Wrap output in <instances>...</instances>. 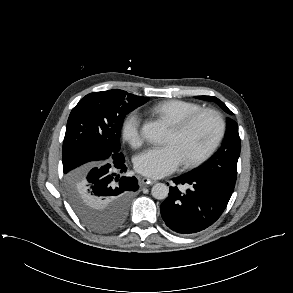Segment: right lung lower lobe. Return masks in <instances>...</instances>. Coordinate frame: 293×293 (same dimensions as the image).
Masks as SVG:
<instances>
[{
    "label": "right lung lower lobe",
    "mask_w": 293,
    "mask_h": 293,
    "mask_svg": "<svg viewBox=\"0 0 293 293\" xmlns=\"http://www.w3.org/2000/svg\"><path fill=\"white\" fill-rule=\"evenodd\" d=\"M125 159L95 163L85 174V194L90 207L99 213H117L125 220L132 192L138 181L135 177H120L126 172ZM123 220V222H124Z\"/></svg>",
    "instance_id": "1"
}]
</instances>
